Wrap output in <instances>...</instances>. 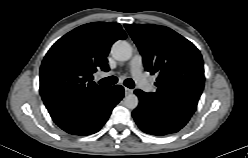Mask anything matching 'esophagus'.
Wrapping results in <instances>:
<instances>
[{
    "label": "esophagus",
    "mask_w": 248,
    "mask_h": 158,
    "mask_svg": "<svg viewBox=\"0 0 248 158\" xmlns=\"http://www.w3.org/2000/svg\"><path fill=\"white\" fill-rule=\"evenodd\" d=\"M124 91H125V95H128V94L133 93V90L132 89H129L127 87L124 88Z\"/></svg>",
    "instance_id": "1"
}]
</instances>
